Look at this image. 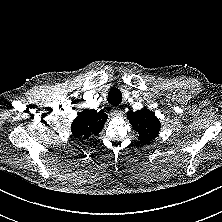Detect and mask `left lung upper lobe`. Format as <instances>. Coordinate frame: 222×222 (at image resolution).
<instances>
[{
  "mask_svg": "<svg viewBox=\"0 0 222 222\" xmlns=\"http://www.w3.org/2000/svg\"><path fill=\"white\" fill-rule=\"evenodd\" d=\"M127 118L134 130L139 135V140L143 144L149 143L159 133L161 124L155 114L147 108L136 112H127Z\"/></svg>",
  "mask_w": 222,
  "mask_h": 222,
  "instance_id": "1",
  "label": "left lung upper lobe"
}]
</instances>
